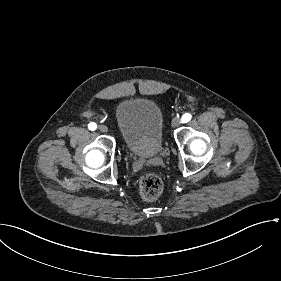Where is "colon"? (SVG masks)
Segmentation results:
<instances>
[{
  "instance_id": "obj_1",
  "label": "colon",
  "mask_w": 281,
  "mask_h": 281,
  "mask_svg": "<svg viewBox=\"0 0 281 281\" xmlns=\"http://www.w3.org/2000/svg\"><path fill=\"white\" fill-rule=\"evenodd\" d=\"M139 189L144 199L157 198L163 190V181L156 173H146L139 181Z\"/></svg>"
}]
</instances>
